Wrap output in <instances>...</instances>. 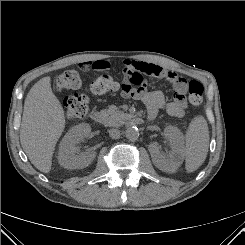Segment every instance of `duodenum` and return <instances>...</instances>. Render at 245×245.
I'll use <instances>...</instances> for the list:
<instances>
[{
  "mask_svg": "<svg viewBox=\"0 0 245 245\" xmlns=\"http://www.w3.org/2000/svg\"><path fill=\"white\" fill-rule=\"evenodd\" d=\"M91 119L97 124H102L104 122V115L100 111H94L91 114ZM129 123L132 125H140L143 123V119L141 117L134 116L129 119Z\"/></svg>",
  "mask_w": 245,
  "mask_h": 245,
  "instance_id": "1",
  "label": "duodenum"
}]
</instances>
